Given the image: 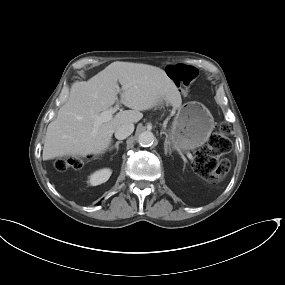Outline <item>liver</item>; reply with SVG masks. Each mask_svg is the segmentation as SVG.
Masks as SVG:
<instances>
[{
  "mask_svg": "<svg viewBox=\"0 0 285 285\" xmlns=\"http://www.w3.org/2000/svg\"><path fill=\"white\" fill-rule=\"evenodd\" d=\"M117 82L122 86L120 102L132 110L120 111L111 120L98 123L95 116L118 100ZM163 101L176 109L182 104L178 88L164 70L141 63L113 62L88 81L73 83L68 100L47 127L43 160L102 154L119 125L137 123L143 117L140 111Z\"/></svg>",
  "mask_w": 285,
  "mask_h": 285,
  "instance_id": "liver-1",
  "label": "liver"
}]
</instances>
